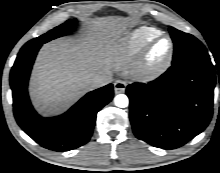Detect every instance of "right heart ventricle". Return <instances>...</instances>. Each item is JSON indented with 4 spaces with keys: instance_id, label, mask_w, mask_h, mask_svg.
Instances as JSON below:
<instances>
[{
    "instance_id": "e07e8e85",
    "label": "right heart ventricle",
    "mask_w": 220,
    "mask_h": 173,
    "mask_svg": "<svg viewBox=\"0 0 220 173\" xmlns=\"http://www.w3.org/2000/svg\"><path fill=\"white\" fill-rule=\"evenodd\" d=\"M160 31L154 27L141 26L122 37L116 46L115 57L120 67L132 63L141 49Z\"/></svg>"
}]
</instances>
